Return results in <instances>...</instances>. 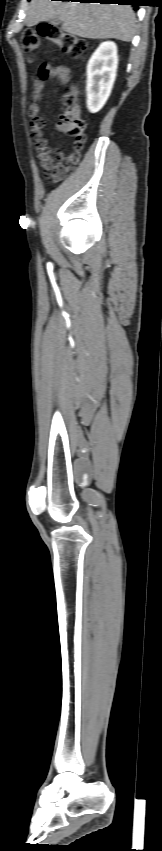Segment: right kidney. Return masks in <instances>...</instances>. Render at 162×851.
I'll list each match as a JSON object with an SVG mask.
<instances>
[{
	"label": "right kidney",
	"instance_id": "right-kidney-1",
	"mask_svg": "<svg viewBox=\"0 0 162 851\" xmlns=\"http://www.w3.org/2000/svg\"><path fill=\"white\" fill-rule=\"evenodd\" d=\"M118 65L117 46L112 41L99 45L87 65V108L90 113L102 109L110 96Z\"/></svg>",
	"mask_w": 162,
	"mask_h": 851
}]
</instances>
